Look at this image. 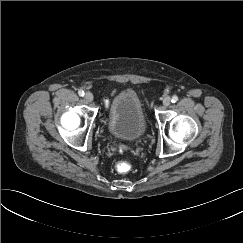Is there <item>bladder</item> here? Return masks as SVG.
<instances>
[{"instance_id": "bladder-1", "label": "bladder", "mask_w": 243, "mask_h": 243, "mask_svg": "<svg viewBox=\"0 0 243 243\" xmlns=\"http://www.w3.org/2000/svg\"><path fill=\"white\" fill-rule=\"evenodd\" d=\"M107 125L110 133L122 140H136L145 134L147 117L136 92L126 89L112 99L107 113Z\"/></svg>"}]
</instances>
